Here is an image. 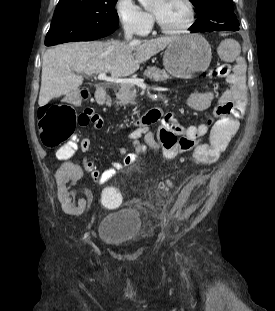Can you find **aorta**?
Wrapping results in <instances>:
<instances>
[{
  "label": "aorta",
  "instance_id": "obj_1",
  "mask_svg": "<svg viewBox=\"0 0 275 311\" xmlns=\"http://www.w3.org/2000/svg\"><path fill=\"white\" fill-rule=\"evenodd\" d=\"M138 1L144 7L150 6L154 2V0H138Z\"/></svg>",
  "mask_w": 275,
  "mask_h": 311
}]
</instances>
